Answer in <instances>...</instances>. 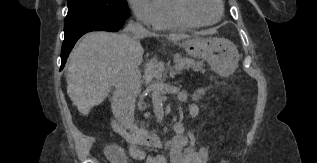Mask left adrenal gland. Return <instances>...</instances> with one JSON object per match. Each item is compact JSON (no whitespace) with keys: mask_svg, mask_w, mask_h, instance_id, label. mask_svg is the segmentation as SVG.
Listing matches in <instances>:
<instances>
[{"mask_svg":"<svg viewBox=\"0 0 317 163\" xmlns=\"http://www.w3.org/2000/svg\"><path fill=\"white\" fill-rule=\"evenodd\" d=\"M169 70H170V77H171V78H174L175 75H177V74L180 73V72L175 71L173 67H170Z\"/></svg>","mask_w":317,"mask_h":163,"instance_id":"1","label":"left adrenal gland"}]
</instances>
